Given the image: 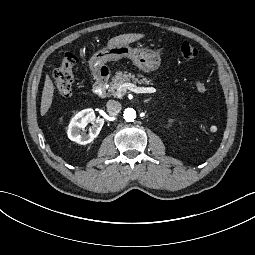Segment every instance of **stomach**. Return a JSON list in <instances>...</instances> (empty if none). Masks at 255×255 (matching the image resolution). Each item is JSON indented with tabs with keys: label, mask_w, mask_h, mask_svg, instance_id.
I'll return each instance as SVG.
<instances>
[{
	"label": "stomach",
	"mask_w": 255,
	"mask_h": 255,
	"mask_svg": "<svg viewBox=\"0 0 255 255\" xmlns=\"http://www.w3.org/2000/svg\"><path fill=\"white\" fill-rule=\"evenodd\" d=\"M124 56L131 57L136 66L146 73L157 71L161 66V56L158 53L149 49H130L127 45H122L96 52L90 59V70L96 73L108 60H117Z\"/></svg>",
	"instance_id": "1"
}]
</instances>
